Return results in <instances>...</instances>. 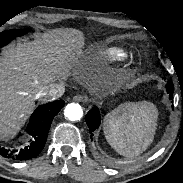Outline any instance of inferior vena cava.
I'll list each match as a JSON object with an SVG mask.
<instances>
[{
    "instance_id": "602c4592",
    "label": "inferior vena cava",
    "mask_w": 183,
    "mask_h": 183,
    "mask_svg": "<svg viewBox=\"0 0 183 183\" xmlns=\"http://www.w3.org/2000/svg\"><path fill=\"white\" fill-rule=\"evenodd\" d=\"M65 92V86L61 83H52L44 86L36 97L41 101L47 102L61 97Z\"/></svg>"
}]
</instances>
